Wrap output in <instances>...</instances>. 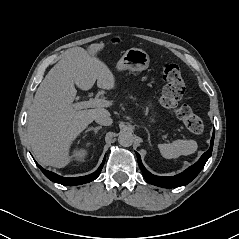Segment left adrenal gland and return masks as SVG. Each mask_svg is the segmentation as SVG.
<instances>
[{
    "label": "left adrenal gland",
    "mask_w": 239,
    "mask_h": 239,
    "mask_svg": "<svg viewBox=\"0 0 239 239\" xmlns=\"http://www.w3.org/2000/svg\"><path fill=\"white\" fill-rule=\"evenodd\" d=\"M144 128H145V130H146V132L148 134V141H149L150 145L152 146L151 139H150V133H149V131H148V129L146 127H144Z\"/></svg>",
    "instance_id": "obj_1"
}]
</instances>
